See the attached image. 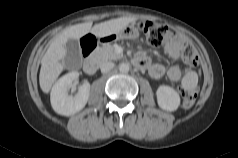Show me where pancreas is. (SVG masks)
<instances>
[{
	"label": "pancreas",
	"instance_id": "pancreas-1",
	"mask_svg": "<svg viewBox=\"0 0 238 158\" xmlns=\"http://www.w3.org/2000/svg\"><path fill=\"white\" fill-rule=\"evenodd\" d=\"M122 57V55L115 53L113 46L110 44H104L97 48L91 55V58L98 64H102L109 60H117Z\"/></svg>",
	"mask_w": 238,
	"mask_h": 158
}]
</instances>
